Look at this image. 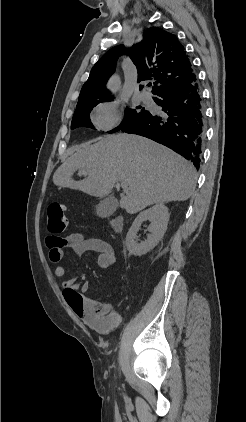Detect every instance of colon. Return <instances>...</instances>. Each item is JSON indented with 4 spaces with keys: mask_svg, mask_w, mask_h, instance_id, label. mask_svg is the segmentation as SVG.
Returning a JSON list of instances; mask_svg holds the SVG:
<instances>
[{
    "mask_svg": "<svg viewBox=\"0 0 246 422\" xmlns=\"http://www.w3.org/2000/svg\"><path fill=\"white\" fill-rule=\"evenodd\" d=\"M67 226L64 205L59 202H53L47 209V227L50 233H62Z\"/></svg>",
    "mask_w": 246,
    "mask_h": 422,
    "instance_id": "1",
    "label": "colon"
}]
</instances>
